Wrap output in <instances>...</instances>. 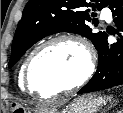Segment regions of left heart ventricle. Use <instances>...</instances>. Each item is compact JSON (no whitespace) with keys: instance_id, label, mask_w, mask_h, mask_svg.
Segmentation results:
<instances>
[{"instance_id":"obj_1","label":"left heart ventricle","mask_w":123,"mask_h":113,"mask_svg":"<svg viewBox=\"0 0 123 113\" xmlns=\"http://www.w3.org/2000/svg\"><path fill=\"white\" fill-rule=\"evenodd\" d=\"M86 69V56L75 43L62 41L41 51L31 68L34 89L46 94L77 81Z\"/></svg>"}]
</instances>
